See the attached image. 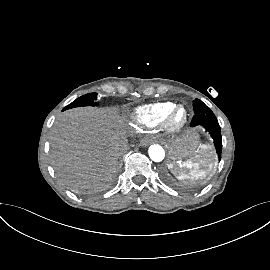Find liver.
I'll list each match as a JSON object with an SVG mask.
<instances>
[{"instance_id":"obj_1","label":"liver","mask_w":270,"mask_h":270,"mask_svg":"<svg viewBox=\"0 0 270 270\" xmlns=\"http://www.w3.org/2000/svg\"><path fill=\"white\" fill-rule=\"evenodd\" d=\"M124 138V125L115 109L67 110L52 127V163L61 175L71 177L77 185L106 186L116 173V144Z\"/></svg>"}]
</instances>
